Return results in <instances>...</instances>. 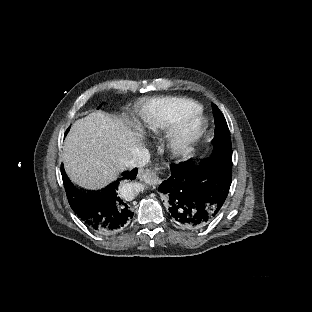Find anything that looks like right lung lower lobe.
Here are the masks:
<instances>
[{"label":"right lung lower lobe","instance_id":"obj_1","mask_svg":"<svg viewBox=\"0 0 312 312\" xmlns=\"http://www.w3.org/2000/svg\"><path fill=\"white\" fill-rule=\"evenodd\" d=\"M61 173L71 208L90 230L111 235L127 227L134 213L120 188L136 178L137 169L123 172L116 181L101 190L89 192L74 187L63 166Z\"/></svg>","mask_w":312,"mask_h":312}]
</instances>
